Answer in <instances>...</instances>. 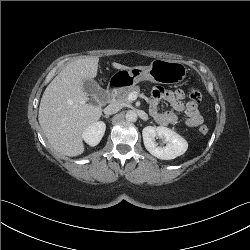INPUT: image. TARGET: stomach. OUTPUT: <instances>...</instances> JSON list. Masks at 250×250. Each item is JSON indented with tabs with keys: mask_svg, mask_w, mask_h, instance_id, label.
I'll list each match as a JSON object with an SVG mask.
<instances>
[{
	"mask_svg": "<svg viewBox=\"0 0 250 250\" xmlns=\"http://www.w3.org/2000/svg\"><path fill=\"white\" fill-rule=\"evenodd\" d=\"M187 74L184 64L176 61L156 59L150 66H136L129 70H120L114 77L121 86L135 85L147 80L161 84H176L182 82Z\"/></svg>",
	"mask_w": 250,
	"mask_h": 250,
	"instance_id": "0dacf381",
	"label": "stomach"
}]
</instances>
